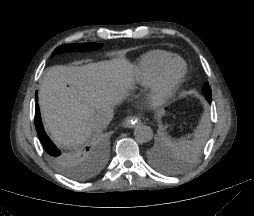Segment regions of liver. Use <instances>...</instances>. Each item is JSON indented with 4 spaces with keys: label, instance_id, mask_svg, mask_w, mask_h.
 <instances>
[{
    "label": "liver",
    "instance_id": "6515ba94",
    "mask_svg": "<svg viewBox=\"0 0 254 216\" xmlns=\"http://www.w3.org/2000/svg\"><path fill=\"white\" fill-rule=\"evenodd\" d=\"M131 68L122 58L50 67L40 85L39 104L52 139L64 147L84 143L94 131V113L121 103L132 88Z\"/></svg>",
    "mask_w": 254,
    "mask_h": 216
}]
</instances>
